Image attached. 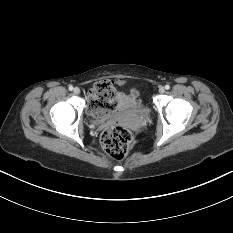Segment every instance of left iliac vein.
<instances>
[{"mask_svg": "<svg viewBox=\"0 0 233 233\" xmlns=\"http://www.w3.org/2000/svg\"><path fill=\"white\" fill-rule=\"evenodd\" d=\"M159 92H160V93H164V92H165V88H164L163 86H160V87H159Z\"/></svg>", "mask_w": 233, "mask_h": 233, "instance_id": "1", "label": "left iliac vein"}]
</instances>
